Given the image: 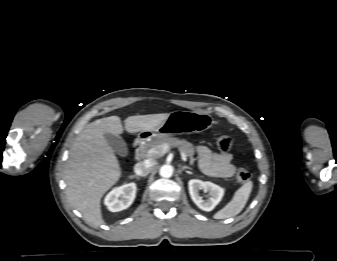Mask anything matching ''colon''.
Wrapping results in <instances>:
<instances>
[{
	"mask_svg": "<svg viewBox=\"0 0 337 261\" xmlns=\"http://www.w3.org/2000/svg\"><path fill=\"white\" fill-rule=\"evenodd\" d=\"M215 143L216 146L218 147L219 150L221 151H228L230 150V148L232 147V138L230 136L227 135H218L215 138ZM250 173L244 169H240L237 173H236V181L240 184H244L246 182H248L250 180Z\"/></svg>",
	"mask_w": 337,
	"mask_h": 261,
	"instance_id": "obj_1",
	"label": "colon"
}]
</instances>
